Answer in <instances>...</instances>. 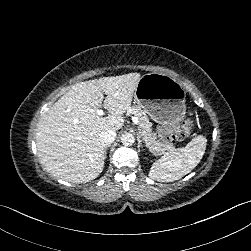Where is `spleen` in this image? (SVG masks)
<instances>
[{"instance_id": "3e777b00", "label": "spleen", "mask_w": 251, "mask_h": 251, "mask_svg": "<svg viewBox=\"0 0 251 251\" xmlns=\"http://www.w3.org/2000/svg\"><path fill=\"white\" fill-rule=\"evenodd\" d=\"M206 144L207 139L203 135H198L185 148L170 151L153 164L149 178L159 182H170L182 178L200 162L205 153Z\"/></svg>"}]
</instances>
